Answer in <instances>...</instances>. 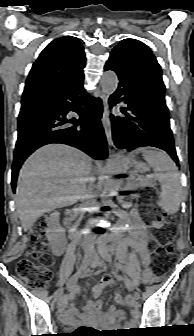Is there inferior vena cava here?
Here are the masks:
<instances>
[{
	"instance_id": "602c4592",
	"label": "inferior vena cava",
	"mask_w": 194,
	"mask_h": 336,
	"mask_svg": "<svg viewBox=\"0 0 194 336\" xmlns=\"http://www.w3.org/2000/svg\"><path fill=\"white\" fill-rule=\"evenodd\" d=\"M96 167H97V164L95 162H92L90 164L89 170L92 173H95ZM89 181H93V179H90ZM83 198H84L83 203L85 205H87V206H94L95 205V200L92 197V188L90 187V185H89L88 189L86 190V194L84 195Z\"/></svg>"
}]
</instances>
